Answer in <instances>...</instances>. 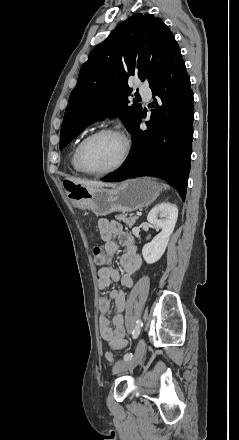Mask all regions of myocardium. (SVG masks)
<instances>
[{
    "label": "myocardium",
    "mask_w": 239,
    "mask_h": 440,
    "mask_svg": "<svg viewBox=\"0 0 239 440\" xmlns=\"http://www.w3.org/2000/svg\"><path fill=\"white\" fill-rule=\"evenodd\" d=\"M104 134L116 135L121 138V140L123 142V152H122L121 158L118 161V163L111 169L104 170V171H91L85 166V163L83 160L84 148L87 145V143L90 142L92 139H94L100 135H104ZM130 148H131L130 142H129L127 136L124 134V132H122L121 130L114 128V127H102V128H99V129L91 132L87 136H85L81 140V142L79 143L78 148H77V154H76L77 165H78L79 169L82 171V173H84L86 175L95 176V177L110 175V174H113V173L119 171L124 166V164L126 163L128 157H129V154H130Z\"/></svg>",
    "instance_id": "1"
}]
</instances>
